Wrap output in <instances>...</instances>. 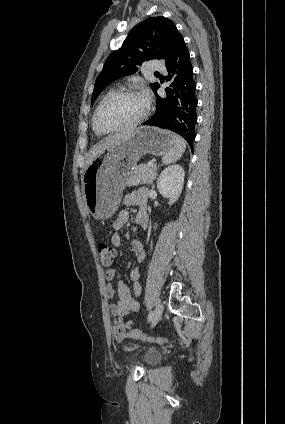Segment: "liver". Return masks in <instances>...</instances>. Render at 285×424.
Wrapping results in <instances>:
<instances>
[{"mask_svg":"<svg viewBox=\"0 0 285 424\" xmlns=\"http://www.w3.org/2000/svg\"><path fill=\"white\" fill-rule=\"evenodd\" d=\"M136 131L135 128H132L130 130L109 136L105 138L103 141L99 142L98 144L94 145L88 152L86 161H85V169L92 163V161L100 155L104 150H106L109 147L116 146L123 142L124 140L128 139L134 132Z\"/></svg>","mask_w":285,"mask_h":424,"instance_id":"1","label":"liver"}]
</instances>
